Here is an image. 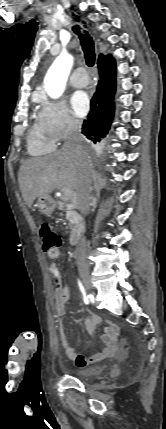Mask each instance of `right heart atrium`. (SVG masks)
<instances>
[{
    "label": "right heart atrium",
    "mask_w": 166,
    "mask_h": 429,
    "mask_svg": "<svg viewBox=\"0 0 166 429\" xmlns=\"http://www.w3.org/2000/svg\"><path fill=\"white\" fill-rule=\"evenodd\" d=\"M38 123L56 142L77 133L81 122L68 109L63 100H44L38 113Z\"/></svg>",
    "instance_id": "obj_1"
}]
</instances>
